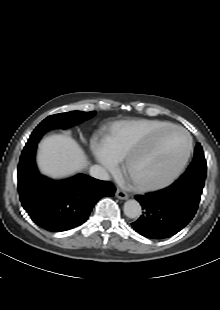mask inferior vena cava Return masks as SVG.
Returning <instances> with one entry per match:
<instances>
[{
	"instance_id": "inferior-vena-cava-1",
	"label": "inferior vena cava",
	"mask_w": 220,
	"mask_h": 310,
	"mask_svg": "<svg viewBox=\"0 0 220 310\" xmlns=\"http://www.w3.org/2000/svg\"><path fill=\"white\" fill-rule=\"evenodd\" d=\"M89 173L92 177L99 180H109L110 176L105 168L100 165H93L90 167Z\"/></svg>"
}]
</instances>
